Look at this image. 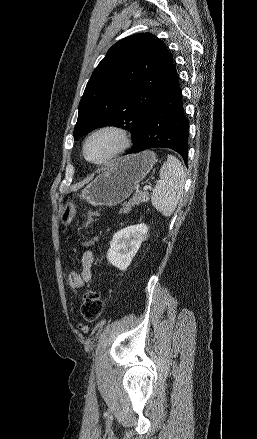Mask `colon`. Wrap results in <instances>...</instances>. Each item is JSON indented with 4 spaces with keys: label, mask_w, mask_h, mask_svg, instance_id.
<instances>
[{
    "label": "colon",
    "mask_w": 257,
    "mask_h": 439,
    "mask_svg": "<svg viewBox=\"0 0 257 439\" xmlns=\"http://www.w3.org/2000/svg\"><path fill=\"white\" fill-rule=\"evenodd\" d=\"M98 210H90L84 220L85 229H90L95 219L98 217ZM70 287L78 288L81 285V273L72 271L68 275ZM103 311V301L98 291L88 290L84 293L81 305V315L85 321L93 322L97 320Z\"/></svg>",
    "instance_id": "1"
}]
</instances>
